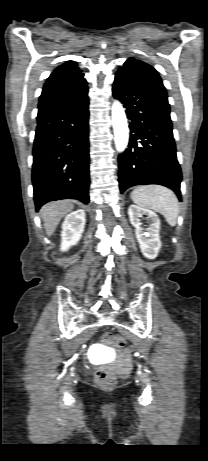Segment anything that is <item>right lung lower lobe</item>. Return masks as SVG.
<instances>
[{"label":"right lung lower lobe","instance_id":"98d812e1","mask_svg":"<svg viewBox=\"0 0 208 461\" xmlns=\"http://www.w3.org/2000/svg\"><path fill=\"white\" fill-rule=\"evenodd\" d=\"M87 93L76 102L38 113L32 166L37 210L59 199L89 202Z\"/></svg>","mask_w":208,"mask_h":461}]
</instances>
